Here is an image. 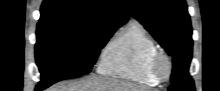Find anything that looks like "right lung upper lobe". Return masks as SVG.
Wrapping results in <instances>:
<instances>
[{
    "label": "right lung upper lobe",
    "instance_id": "1",
    "mask_svg": "<svg viewBox=\"0 0 220 91\" xmlns=\"http://www.w3.org/2000/svg\"><path fill=\"white\" fill-rule=\"evenodd\" d=\"M38 25L82 24L119 28L128 13L120 0H44Z\"/></svg>",
    "mask_w": 220,
    "mask_h": 91
}]
</instances>
